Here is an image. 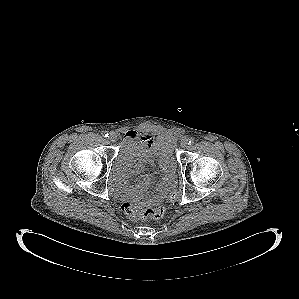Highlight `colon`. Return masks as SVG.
Instances as JSON below:
<instances>
[{"label": "colon", "instance_id": "obj_1", "mask_svg": "<svg viewBox=\"0 0 299 299\" xmlns=\"http://www.w3.org/2000/svg\"><path fill=\"white\" fill-rule=\"evenodd\" d=\"M178 196L177 192H171L168 196L169 201L176 200ZM123 212L132 219H160L165 214L164 206H155L146 209H142L131 202H125L122 205Z\"/></svg>", "mask_w": 299, "mask_h": 299}]
</instances>
